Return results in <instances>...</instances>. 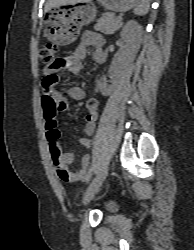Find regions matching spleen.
<instances>
[{
	"label": "spleen",
	"instance_id": "3e777b00",
	"mask_svg": "<svg viewBox=\"0 0 194 250\" xmlns=\"http://www.w3.org/2000/svg\"><path fill=\"white\" fill-rule=\"evenodd\" d=\"M149 1L150 0H140V3L138 6L135 7L134 13L139 16H143L148 13L149 11Z\"/></svg>",
	"mask_w": 194,
	"mask_h": 250
}]
</instances>
